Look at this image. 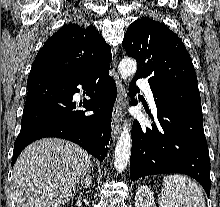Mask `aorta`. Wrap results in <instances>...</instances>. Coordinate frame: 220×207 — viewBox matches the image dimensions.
<instances>
[{"instance_id":"762f6f07","label":"aorta","mask_w":220,"mask_h":207,"mask_svg":"<svg viewBox=\"0 0 220 207\" xmlns=\"http://www.w3.org/2000/svg\"><path fill=\"white\" fill-rule=\"evenodd\" d=\"M137 70V63L134 59L123 58L119 64V73L126 80L133 76ZM131 133L129 125L124 123L114 153V166L117 171L122 172L128 165L131 155Z\"/></svg>"}]
</instances>
